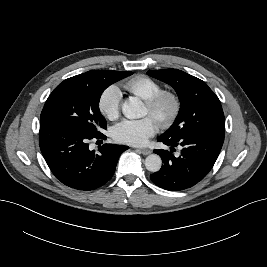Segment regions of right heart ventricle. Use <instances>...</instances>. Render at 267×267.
Returning a JSON list of instances; mask_svg holds the SVG:
<instances>
[{"label":"right heart ventricle","instance_id":"right-heart-ventricle-1","mask_svg":"<svg viewBox=\"0 0 267 267\" xmlns=\"http://www.w3.org/2000/svg\"><path fill=\"white\" fill-rule=\"evenodd\" d=\"M123 88L129 93L143 99L144 101L148 100L157 92L162 90V86L158 81L144 75L135 76L127 80L123 84Z\"/></svg>","mask_w":267,"mask_h":267}]
</instances>
